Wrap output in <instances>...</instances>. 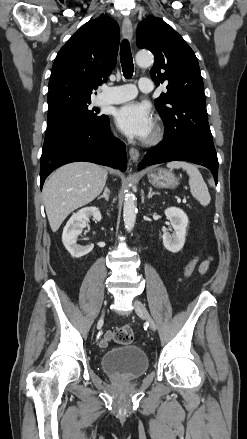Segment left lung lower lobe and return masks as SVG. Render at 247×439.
<instances>
[{
	"instance_id": "left-lung-lower-lobe-1",
	"label": "left lung lower lobe",
	"mask_w": 247,
	"mask_h": 439,
	"mask_svg": "<svg viewBox=\"0 0 247 439\" xmlns=\"http://www.w3.org/2000/svg\"><path fill=\"white\" fill-rule=\"evenodd\" d=\"M165 139L152 147L139 163V169L146 166L183 160L207 167L218 181V159L214 145L204 141H189L177 134L165 133Z\"/></svg>"
}]
</instances>
